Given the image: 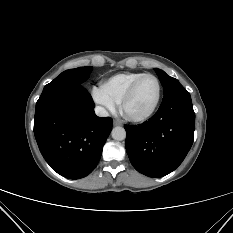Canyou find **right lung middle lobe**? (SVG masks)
Segmentation results:
<instances>
[{"instance_id": "1", "label": "right lung middle lobe", "mask_w": 233, "mask_h": 233, "mask_svg": "<svg viewBox=\"0 0 233 233\" xmlns=\"http://www.w3.org/2000/svg\"><path fill=\"white\" fill-rule=\"evenodd\" d=\"M93 70V67L86 66L76 69H70L62 72L52 82L47 84L44 89L56 88L66 85H81L89 78V74Z\"/></svg>"}]
</instances>
